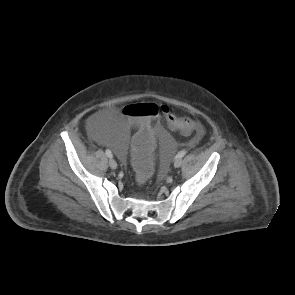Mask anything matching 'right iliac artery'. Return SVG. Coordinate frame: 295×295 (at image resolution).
<instances>
[{"label": "right iliac artery", "mask_w": 295, "mask_h": 295, "mask_svg": "<svg viewBox=\"0 0 295 295\" xmlns=\"http://www.w3.org/2000/svg\"><path fill=\"white\" fill-rule=\"evenodd\" d=\"M105 153H106L107 157H109V158L113 157L112 152L109 149H106Z\"/></svg>", "instance_id": "1"}]
</instances>
